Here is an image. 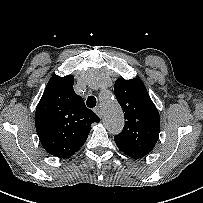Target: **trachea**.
Returning <instances> with one entry per match:
<instances>
[{
	"label": "trachea",
	"mask_w": 203,
	"mask_h": 203,
	"mask_svg": "<svg viewBox=\"0 0 203 203\" xmlns=\"http://www.w3.org/2000/svg\"><path fill=\"white\" fill-rule=\"evenodd\" d=\"M87 107L94 108L96 106V98L94 96H89L86 101Z\"/></svg>",
	"instance_id": "3493384b"
}]
</instances>
